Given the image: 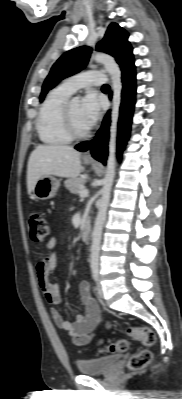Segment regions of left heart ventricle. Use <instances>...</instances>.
Masks as SVG:
<instances>
[{"mask_svg": "<svg viewBox=\"0 0 182 399\" xmlns=\"http://www.w3.org/2000/svg\"><path fill=\"white\" fill-rule=\"evenodd\" d=\"M69 108H70V114H71L72 121H73L75 128L80 132L87 130L88 127L85 124V122L83 121L82 116H81V104L80 103H71L69 105Z\"/></svg>", "mask_w": 182, "mask_h": 399, "instance_id": "obj_1", "label": "left heart ventricle"}]
</instances>
